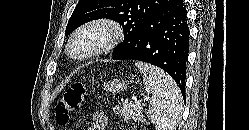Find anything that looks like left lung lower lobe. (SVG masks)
Wrapping results in <instances>:
<instances>
[{
	"label": "left lung lower lobe",
	"instance_id": "obj_1",
	"mask_svg": "<svg viewBox=\"0 0 249 130\" xmlns=\"http://www.w3.org/2000/svg\"><path fill=\"white\" fill-rule=\"evenodd\" d=\"M189 52L187 12L182 0H171L152 16L133 40L112 58L139 60L166 71L185 97L186 63Z\"/></svg>",
	"mask_w": 249,
	"mask_h": 130
}]
</instances>
